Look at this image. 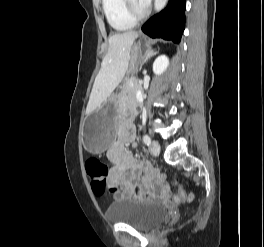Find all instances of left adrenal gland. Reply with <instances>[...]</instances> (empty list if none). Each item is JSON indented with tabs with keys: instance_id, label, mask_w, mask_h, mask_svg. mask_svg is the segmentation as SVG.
<instances>
[{
	"instance_id": "a2214340",
	"label": "left adrenal gland",
	"mask_w": 264,
	"mask_h": 247,
	"mask_svg": "<svg viewBox=\"0 0 264 247\" xmlns=\"http://www.w3.org/2000/svg\"><path fill=\"white\" fill-rule=\"evenodd\" d=\"M158 52L153 49H148L144 54L143 63H146L152 56L156 55Z\"/></svg>"
}]
</instances>
